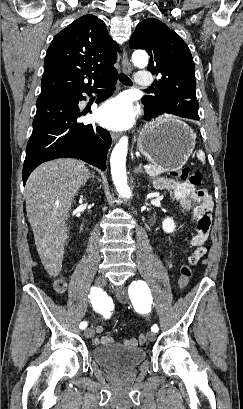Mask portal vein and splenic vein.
<instances>
[{"mask_svg": "<svg viewBox=\"0 0 243 409\" xmlns=\"http://www.w3.org/2000/svg\"><path fill=\"white\" fill-rule=\"evenodd\" d=\"M144 169L145 170L150 169V166L149 165H144Z\"/></svg>", "mask_w": 243, "mask_h": 409, "instance_id": "18ae733b", "label": "portal vein and splenic vein"}]
</instances>
